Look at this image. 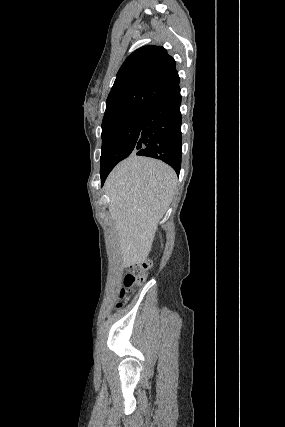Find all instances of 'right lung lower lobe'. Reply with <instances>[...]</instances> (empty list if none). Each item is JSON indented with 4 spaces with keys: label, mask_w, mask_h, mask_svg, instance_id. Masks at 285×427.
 Instances as JSON below:
<instances>
[{
    "label": "right lung lower lobe",
    "mask_w": 285,
    "mask_h": 427,
    "mask_svg": "<svg viewBox=\"0 0 285 427\" xmlns=\"http://www.w3.org/2000/svg\"><path fill=\"white\" fill-rule=\"evenodd\" d=\"M181 95L180 89L152 104L144 117L136 155L160 159L177 174L181 168ZM109 171L101 172V185Z\"/></svg>",
    "instance_id": "obj_1"
}]
</instances>
